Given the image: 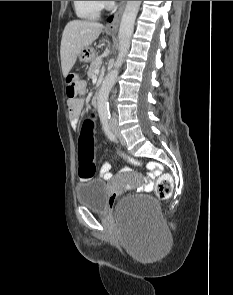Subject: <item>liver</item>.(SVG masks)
<instances>
[{
  "label": "liver",
  "instance_id": "liver-1",
  "mask_svg": "<svg viewBox=\"0 0 233 295\" xmlns=\"http://www.w3.org/2000/svg\"><path fill=\"white\" fill-rule=\"evenodd\" d=\"M104 26L98 22L72 20L65 26L60 48L61 67L66 77L82 49L89 47L100 35Z\"/></svg>",
  "mask_w": 233,
  "mask_h": 295
}]
</instances>
